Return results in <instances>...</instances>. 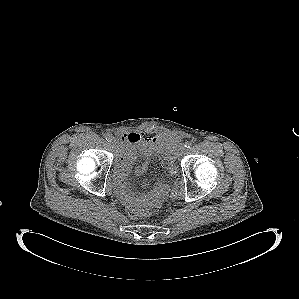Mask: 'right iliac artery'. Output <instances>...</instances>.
<instances>
[{
    "instance_id": "82829eb1",
    "label": "right iliac artery",
    "mask_w": 299,
    "mask_h": 299,
    "mask_svg": "<svg viewBox=\"0 0 299 299\" xmlns=\"http://www.w3.org/2000/svg\"><path fill=\"white\" fill-rule=\"evenodd\" d=\"M104 137H105V139L107 140V141H109V142H111V140H112V135H110V134H104Z\"/></svg>"
}]
</instances>
